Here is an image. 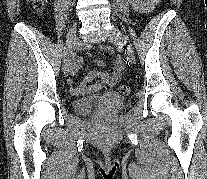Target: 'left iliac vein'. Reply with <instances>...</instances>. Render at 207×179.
<instances>
[{
	"mask_svg": "<svg viewBox=\"0 0 207 179\" xmlns=\"http://www.w3.org/2000/svg\"><path fill=\"white\" fill-rule=\"evenodd\" d=\"M111 32L108 35V40L115 45L121 46L122 49H126V57L133 61L135 56L132 54L133 46L127 40V37L118 29L115 25L110 26Z\"/></svg>",
	"mask_w": 207,
	"mask_h": 179,
	"instance_id": "left-iliac-vein-1",
	"label": "left iliac vein"
}]
</instances>
